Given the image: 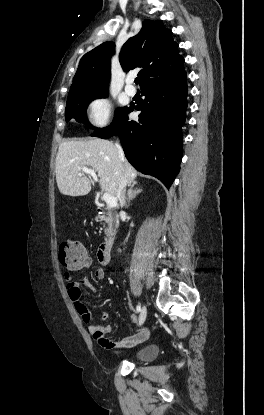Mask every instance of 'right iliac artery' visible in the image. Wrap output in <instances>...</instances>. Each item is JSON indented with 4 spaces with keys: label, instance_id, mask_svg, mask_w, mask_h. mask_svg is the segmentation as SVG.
<instances>
[{
    "label": "right iliac artery",
    "instance_id": "obj_1",
    "mask_svg": "<svg viewBox=\"0 0 264 415\" xmlns=\"http://www.w3.org/2000/svg\"><path fill=\"white\" fill-rule=\"evenodd\" d=\"M136 310H137V312H140V311H141V306H140V305H138V306L136 307Z\"/></svg>",
    "mask_w": 264,
    "mask_h": 415
}]
</instances>
